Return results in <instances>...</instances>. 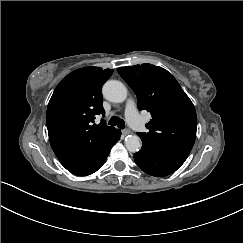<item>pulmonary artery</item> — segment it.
Wrapping results in <instances>:
<instances>
[{
	"label": "pulmonary artery",
	"mask_w": 243,
	"mask_h": 243,
	"mask_svg": "<svg viewBox=\"0 0 243 243\" xmlns=\"http://www.w3.org/2000/svg\"><path fill=\"white\" fill-rule=\"evenodd\" d=\"M137 112V104L136 101L130 97L125 105V116L128 117L129 115H131L132 113H136Z\"/></svg>",
	"instance_id": "pulmonary-artery-1"
}]
</instances>
